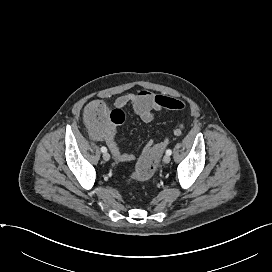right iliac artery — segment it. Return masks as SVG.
Listing matches in <instances>:
<instances>
[{
  "mask_svg": "<svg viewBox=\"0 0 272 272\" xmlns=\"http://www.w3.org/2000/svg\"><path fill=\"white\" fill-rule=\"evenodd\" d=\"M101 151L103 152V153H105V152H107V148L106 147H101Z\"/></svg>",
  "mask_w": 272,
  "mask_h": 272,
  "instance_id": "right-iliac-artery-1",
  "label": "right iliac artery"
}]
</instances>
